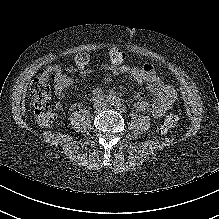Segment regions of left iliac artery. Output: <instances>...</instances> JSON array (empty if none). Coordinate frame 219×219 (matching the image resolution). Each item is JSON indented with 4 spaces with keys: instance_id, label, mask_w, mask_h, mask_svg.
Wrapping results in <instances>:
<instances>
[{
    "instance_id": "44dca946",
    "label": "left iliac artery",
    "mask_w": 219,
    "mask_h": 219,
    "mask_svg": "<svg viewBox=\"0 0 219 219\" xmlns=\"http://www.w3.org/2000/svg\"><path fill=\"white\" fill-rule=\"evenodd\" d=\"M115 104H116V105H119V104H120V100H119V99H116Z\"/></svg>"
}]
</instances>
